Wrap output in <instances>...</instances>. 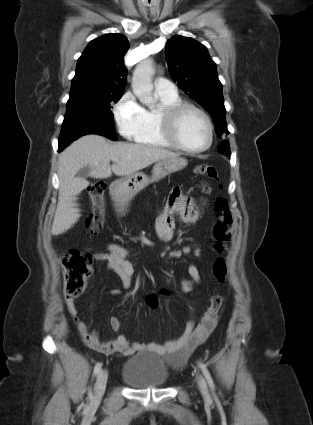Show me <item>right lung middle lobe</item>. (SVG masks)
Returning a JSON list of instances; mask_svg holds the SVG:
<instances>
[{"label":"right lung middle lobe","mask_w":313,"mask_h":425,"mask_svg":"<svg viewBox=\"0 0 313 425\" xmlns=\"http://www.w3.org/2000/svg\"><path fill=\"white\" fill-rule=\"evenodd\" d=\"M122 94L123 92L70 95L64 118H68L71 113H87L100 115L102 118L112 121L114 115L110 110L113 108L111 103H117Z\"/></svg>","instance_id":"right-lung-middle-lobe-1"}]
</instances>
